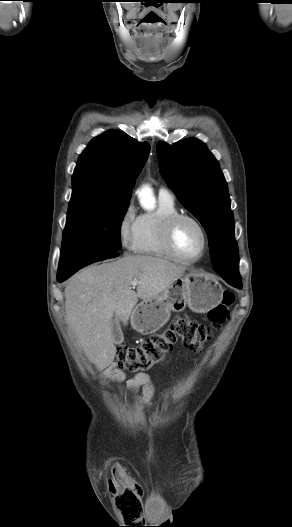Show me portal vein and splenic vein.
I'll return each instance as SVG.
<instances>
[{
  "mask_svg": "<svg viewBox=\"0 0 292 527\" xmlns=\"http://www.w3.org/2000/svg\"><path fill=\"white\" fill-rule=\"evenodd\" d=\"M138 283H139V282H138L137 280H133V281L131 282V285H132L133 287H135V286L138 285Z\"/></svg>",
  "mask_w": 292,
  "mask_h": 527,
  "instance_id": "1",
  "label": "portal vein and splenic vein"
}]
</instances>
